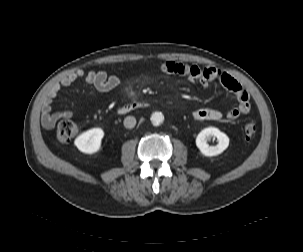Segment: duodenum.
Wrapping results in <instances>:
<instances>
[{
  "instance_id": "duodenum-1",
  "label": "duodenum",
  "mask_w": 303,
  "mask_h": 252,
  "mask_svg": "<svg viewBox=\"0 0 303 252\" xmlns=\"http://www.w3.org/2000/svg\"><path fill=\"white\" fill-rule=\"evenodd\" d=\"M147 105H148V103L144 100H135L131 103L119 106L117 108V111H118L119 114H126L131 110L141 108V107H145Z\"/></svg>"
}]
</instances>
